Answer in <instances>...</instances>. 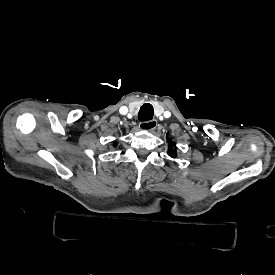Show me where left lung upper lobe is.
Returning <instances> with one entry per match:
<instances>
[{"instance_id":"obj_1","label":"left lung upper lobe","mask_w":275,"mask_h":275,"mask_svg":"<svg viewBox=\"0 0 275 275\" xmlns=\"http://www.w3.org/2000/svg\"><path fill=\"white\" fill-rule=\"evenodd\" d=\"M177 148L175 143H171L168 146V155L172 158H175L177 156Z\"/></svg>"}]
</instances>
